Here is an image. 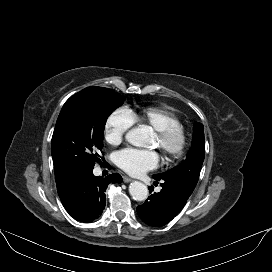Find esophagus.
Returning a JSON list of instances; mask_svg holds the SVG:
<instances>
[{
	"label": "esophagus",
	"instance_id": "34e87169",
	"mask_svg": "<svg viewBox=\"0 0 272 272\" xmlns=\"http://www.w3.org/2000/svg\"><path fill=\"white\" fill-rule=\"evenodd\" d=\"M123 181H124L125 183H129V182H132L133 179H131V178L127 177V176H124V177H123Z\"/></svg>",
	"mask_w": 272,
	"mask_h": 272
}]
</instances>
